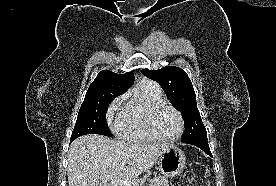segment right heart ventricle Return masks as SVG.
Segmentation results:
<instances>
[{"label": "right heart ventricle", "mask_w": 276, "mask_h": 186, "mask_svg": "<svg viewBox=\"0 0 276 186\" xmlns=\"http://www.w3.org/2000/svg\"><path fill=\"white\" fill-rule=\"evenodd\" d=\"M164 101L160 87L151 81H144L130 100L125 104V119L118 128L120 137L140 142H152L146 118L149 109L158 102Z\"/></svg>", "instance_id": "right-heart-ventricle-1"}]
</instances>
